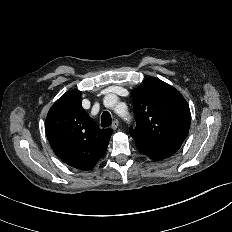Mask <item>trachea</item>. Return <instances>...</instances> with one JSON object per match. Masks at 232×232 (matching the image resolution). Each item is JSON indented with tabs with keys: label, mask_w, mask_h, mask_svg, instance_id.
I'll list each match as a JSON object with an SVG mask.
<instances>
[{
	"label": "trachea",
	"mask_w": 232,
	"mask_h": 232,
	"mask_svg": "<svg viewBox=\"0 0 232 232\" xmlns=\"http://www.w3.org/2000/svg\"><path fill=\"white\" fill-rule=\"evenodd\" d=\"M111 125V115L108 111H104L101 115V126L109 127Z\"/></svg>",
	"instance_id": "3493384b"
}]
</instances>
